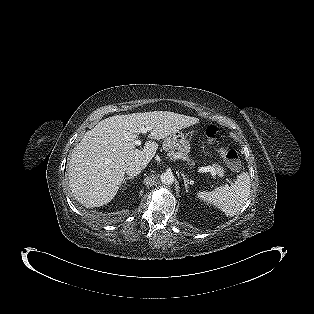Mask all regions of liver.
I'll use <instances>...</instances> for the list:
<instances>
[{"instance_id": "6515ba94", "label": "liver", "mask_w": 314, "mask_h": 314, "mask_svg": "<svg viewBox=\"0 0 314 314\" xmlns=\"http://www.w3.org/2000/svg\"><path fill=\"white\" fill-rule=\"evenodd\" d=\"M198 122V118L169 111L116 115L101 120L85 133L71 153L68 178L73 196L86 208L109 203L124 180L126 167L132 163L146 167L157 151L154 141H147L142 150L135 147L141 128L150 127L148 137L161 140Z\"/></svg>"}]
</instances>
